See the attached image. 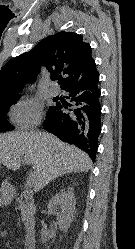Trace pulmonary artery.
Listing matches in <instances>:
<instances>
[{
	"instance_id": "1",
	"label": "pulmonary artery",
	"mask_w": 135,
	"mask_h": 249,
	"mask_svg": "<svg viewBox=\"0 0 135 249\" xmlns=\"http://www.w3.org/2000/svg\"><path fill=\"white\" fill-rule=\"evenodd\" d=\"M50 93L52 96H58L61 93V90L57 85H55L50 89Z\"/></svg>"
}]
</instances>
